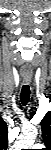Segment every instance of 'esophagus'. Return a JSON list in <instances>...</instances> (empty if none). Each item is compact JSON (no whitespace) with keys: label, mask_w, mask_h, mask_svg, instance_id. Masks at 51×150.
<instances>
[{"label":"esophagus","mask_w":51,"mask_h":150,"mask_svg":"<svg viewBox=\"0 0 51 150\" xmlns=\"http://www.w3.org/2000/svg\"><path fill=\"white\" fill-rule=\"evenodd\" d=\"M24 83H25V84H29V83H30V79H25V80H24Z\"/></svg>","instance_id":"esophagus-1"}]
</instances>
